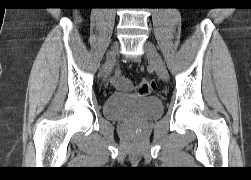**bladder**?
Wrapping results in <instances>:
<instances>
[{"label":"bladder","instance_id":"bladder-1","mask_svg":"<svg viewBox=\"0 0 251 180\" xmlns=\"http://www.w3.org/2000/svg\"><path fill=\"white\" fill-rule=\"evenodd\" d=\"M162 101L154 96H131L123 93L110 95L104 103L103 114L115 121H146L161 115Z\"/></svg>","mask_w":251,"mask_h":180}]
</instances>
